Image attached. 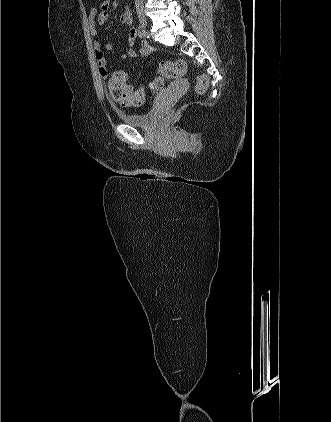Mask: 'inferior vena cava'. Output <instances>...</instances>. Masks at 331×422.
<instances>
[{
    "label": "inferior vena cava",
    "mask_w": 331,
    "mask_h": 422,
    "mask_svg": "<svg viewBox=\"0 0 331 422\" xmlns=\"http://www.w3.org/2000/svg\"><path fill=\"white\" fill-rule=\"evenodd\" d=\"M143 3H144V0H135V5H136V10L137 11L143 9Z\"/></svg>",
    "instance_id": "obj_1"
}]
</instances>
